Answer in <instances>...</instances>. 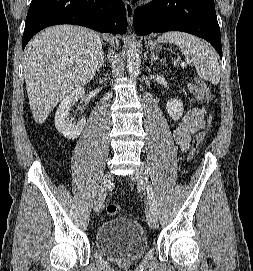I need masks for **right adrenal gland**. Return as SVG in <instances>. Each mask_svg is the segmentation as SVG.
Listing matches in <instances>:
<instances>
[{
  "instance_id": "right-adrenal-gland-1",
  "label": "right adrenal gland",
  "mask_w": 253,
  "mask_h": 271,
  "mask_svg": "<svg viewBox=\"0 0 253 271\" xmlns=\"http://www.w3.org/2000/svg\"><path fill=\"white\" fill-rule=\"evenodd\" d=\"M104 62H105V55H104V52H102L98 61L97 69H96L98 73L100 72V68L104 66Z\"/></svg>"
}]
</instances>
